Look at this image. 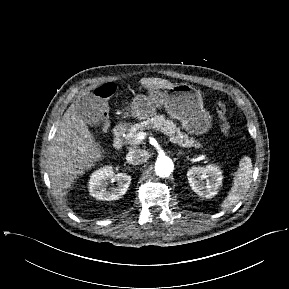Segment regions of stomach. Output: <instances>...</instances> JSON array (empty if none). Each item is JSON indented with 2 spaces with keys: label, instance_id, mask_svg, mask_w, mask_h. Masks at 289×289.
Listing matches in <instances>:
<instances>
[{
  "label": "stomach",
  "instance_id": "1",
  "mask_svg": "<svg viewBox=\"0 0 289 289\" xmlns=\"http://www.w3.org/2000/svg\"><path fill=\"white\" fill-rule=\"evenodd\" d=\"M161 106H164L172 118L179 120L182 128L189 134L201 135L211 128L212 117L204 109L200 91L187 83L151 89L148 96H135L130 113L133 117L144 120L155 115L156 109Z\"/></svg>",
  "mask_w": 289,
  "mask_h": 289
}]
</instances>
